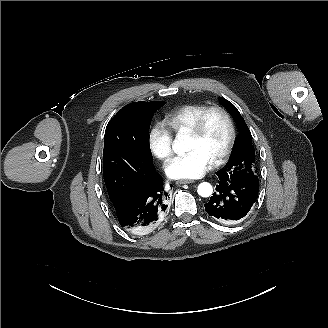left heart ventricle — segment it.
Returning a JSON list of instances; mask_svg holds the SVG:
<instances>
[{
  "label": "left heart ventricle",
  "mask_w": 328,
  "mask_h": 328,
  "mask_svg": "<svg viewBox=\"0 0 328 328\" xmlns=\"http://www.w3.org/2000/svg\"><path fill=\"white\" fill-rule=\"evenodd\" d=\"M229 136L230 129L224 117L212 114L198 137L188 134L187 151L200 150L214 162L224 152Z\"/></svg>",
  "instance_id": "obj_1"
}]
</instances>
